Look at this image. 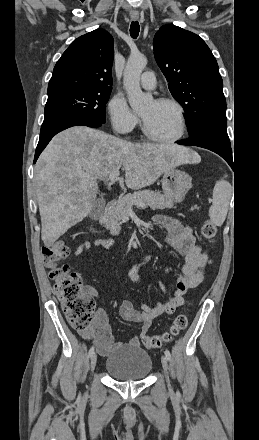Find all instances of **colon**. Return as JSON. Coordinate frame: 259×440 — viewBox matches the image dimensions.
Masks as SVG:
<instances>
[{
	"label": "colon",
	"instance_id": "obj_1",
	"mask_svg": "<svg viewBox=\"0 0 259 440\" xmlns=\"http://www.w3.org/2000/svg\"><path fill=\"white\" fill-rule=\"evenodd\" d=\"M203 237L212 242L217 229L213 222L206 220L201 227ZM69 247L63 241H57L42 248V256L49 275L54 280L55 293L62 304L68 322L78 330L87 329L94 320L95 302L82 284L81 277L72 272L63 261L69 255ZM188 325L185 314L174 319L168 331L161 335H145L143 343L148 349H158L171 341Z\"/></svg>",
	"mask_w": 259,
	"mask_h": 440
}]
</instances>
